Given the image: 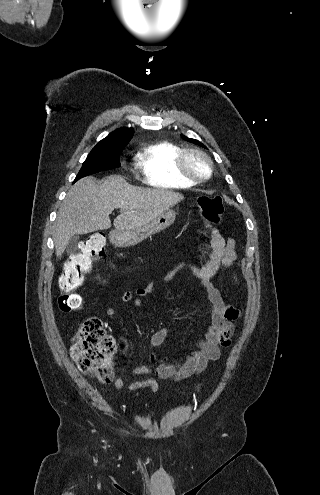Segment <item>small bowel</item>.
Here are the masks:
<instances>
[{
	"mask_svg": "<svg viewBox=\"0 0 320 495\" xmlns=\"http://www.w3.org/2000/svg\"><path fill=\"white\" fill-rule=\"evenodd\" d=\"M206 227L211 235L209 260L203 265L182 262L167 274L165 282L170 281L181 270H188L196 277L200 281L209 301L210 325L204 337L196 343V349L192 350L177 364H170L166 358L158 362V358L153 351L155 347L165 342L171 332V327H162L154 331L147 344L150 366L143 365L134 368L132 371L134 375L154 374L159 379L180 381L203 372L210 362L220 358L221 348H227L231 345V339L235 333V321L239 318L240 312L223 300L219 290L214 286L212 278L226 269L234 268L237 258L236 242L232 238H224L212 223L206 222ZM234 281L238 284L236 275H234ZM155 289L156 284L151 282L142 288H138L134 293L131 291L124 292L121 300L124 303L132 302L134 306L142 307L145 297L152 294ZM106 315L108 317L116 316L117 309L109 307L106 310ZM114 386L117 389L129 391L148 388L154 393L158 390V383L153 378L126 384L118 377L114 380Z\"/></svg>",
	"mask_w": 320,
	"mask_h": 495,
	"instance_id": "1",
	"label": "small bowel"
}]
</instances>
